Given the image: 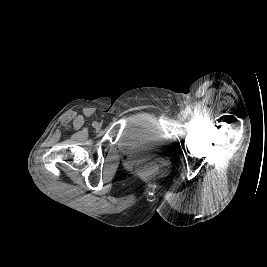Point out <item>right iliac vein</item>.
<instances>
[{"mask_svg": "<svg viewBox=\"0 0 267 267\" xmlns=\"http://www.w3.org/2000/svg\"><path fill=\"white\" fill-rule=\"evenodd\" d=\"M94 127H95L96 130H99L100 129V124L96 123Z\"/></svg>", "mask_w": 267, "mask_h": 267, "instance_id": "1", "label": "right iliac vein"}]
</instances>
